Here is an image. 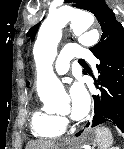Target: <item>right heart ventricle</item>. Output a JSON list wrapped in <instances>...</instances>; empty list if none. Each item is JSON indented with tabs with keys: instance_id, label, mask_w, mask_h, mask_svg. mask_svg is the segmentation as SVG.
<instances>
[{
	"instance_id": "1",
	"label": "right heart ventricle",
	"mask_w": 124,
	"mask_h": 149,
	"mask_svg": "<svg viewBox=\"0 0 124 149\" xmlns=\"http://www.w3.org/2000/svg\"><path fill=\"white\" fill-rule=\"evenodd\" d=\"M29 126L33 137L42 141L55 140L65 132L64 120L43 108H35L32 111Z\"/></svg>"
}]
</instances>
